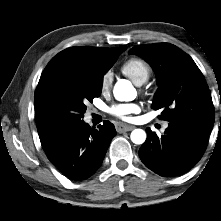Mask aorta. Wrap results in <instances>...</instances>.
Segmentation results:
<instances>
[{"mask_svg": "<svg viewBox=\"0 0 221 221\" xmlns=\"http://www.w3.org/2000/svg\"><path fill=\"white\" fill-rule=\"evenodd\" d=\"M113 94L118 101H131L136 96V90L129 80L121 79L115 84ZM130 137L133 143L143 144L146 140V133L142 129H135Z\"/></svg>", "mask_w": 221, "mask_h": 221, "instance_id": "aorta-1", "label": "aorta"}]
</instances>
